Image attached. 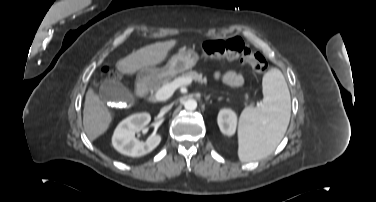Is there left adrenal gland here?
Segmentation results:
<instances>
[{"label":"left adrenal gland","instance_id":"1","mask_svg":"<svg viewBox=\"0 0 376 202\" xmlns=\"http://www.w3.org/2000/svg\"><path fill=\"white\" fill-rule=\"evenodd\" d=\"M210 99V97L208 96V97H206V101H208ZM211 102V101H210Z\"/></svg>","mask_w":376,"mask_h":202}]
</instances>
